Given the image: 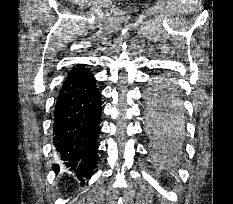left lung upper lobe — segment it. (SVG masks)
I'll list each match as a JSON object with an SVG mask.
<instances>
[{
	"instance_id": "obj_1",
	"label": "left lung upper lobe",
	"mask_w": 233,
	"mask_h": 204,
	"mask_svg": "<svg viewBox=\"0 0 233 204\" xmlns=\"http://www.w3.org/2000/svg\"><path fill=\"white\" fill-rule=\"evenodd\" d=\"M159 84L161 85L160 89L148 96L150 101L147 108L148 118L152 121L165 122L173 124L176 128H182L184 115L179 96L169 82L162 81Z\"/></svg>"
}]
</instances>
